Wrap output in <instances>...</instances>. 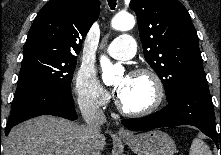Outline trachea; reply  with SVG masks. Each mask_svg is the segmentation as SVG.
I'll list each match as a JSON object with an SVG mask.
<instances>
[{
	"label": "trachea",
	"mask_w": 221,
	"mask_h": 155,
	"mask_svg": "<svg viewBox=\"0 0 221 155\" xmlns=\"http://www.w3.org/2000/svg\"><path fill=\"white\" fill-rule=\"evenodd\" d=\"M111 9H115L116 0H107Z\"/></svg>",
	"instance_id": "3493384b"
}]
</instances>
